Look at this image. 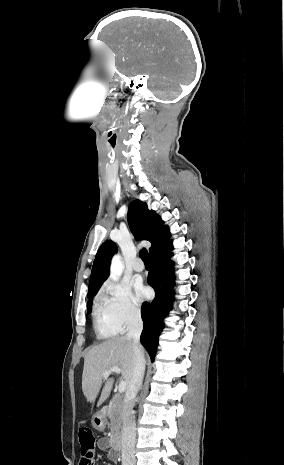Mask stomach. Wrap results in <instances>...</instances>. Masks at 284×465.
I'll list each match as a JSON object with an SVG mask.
<instances>
[{
	"label": "stomach",
	"mask_w": 284,
	"mask_h": 465,
	"mask_svg": "<svg viewBox=\"0 0 284 465\" xmlns=\"http://www.w3.org/2000/svg\"><path fill=\"white\" fill-rule=\"evenodd\" d=\"M92 427L97 429V431H105V427L107 425V419L104 411H98V413H94L91 419Z\"/></svg>",
	"instance_id": "0dacf381"
}]
</instances>
